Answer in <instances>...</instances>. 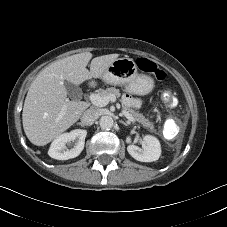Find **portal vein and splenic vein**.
Returning <instances> with one entry per match:
<instances>
[{"label":"portal vein and splenic vein","mask_w":227,"mask_h":227,"mask_svg":"<svg viewBox=\"0 0 227 227\" xmlns=\"http://www.w3.org/2000/svg\"><path fill=\"white\" fill-rule=\"evenodd\" d=\"M90 101L92 102L93 105L98 106V107H104L106 106L109 102H115L116 101V96L114 95H108V96H100L98 94L92 93L89 96ZM65 108L62 109L60 116L64 114ZM122 114L130 121L134 122L133 117L126 111L122 110Z\"/></svg>","instance_id":"portal-vein-and-splenic-vein-1"}]
</instances>
